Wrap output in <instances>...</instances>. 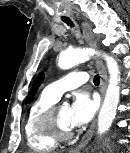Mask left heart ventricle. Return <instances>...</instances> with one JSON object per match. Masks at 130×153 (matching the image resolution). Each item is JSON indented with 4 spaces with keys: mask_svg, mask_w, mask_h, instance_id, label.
<instances>
[{
    "mask_svg": "<svg viewBox=\"0 0 130 153\" xmlns=\"http://www.w3.org/2000/svg\"><path fill=\"white\" fill-rule=\"evenodd\" d=\"M58 119L60 122V125L65 128H71L70 123V108L68 106H61L58 110Z\"/></svg>",
    "mask_w": 130,
    "mask_h": 153,
    "instance_id": "1",
    "label": "left heart ventricle"
}]
</instances>
